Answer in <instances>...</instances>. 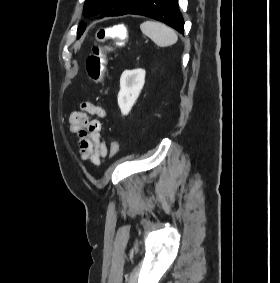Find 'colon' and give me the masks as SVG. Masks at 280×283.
<instances>
[{"label":"colon","mask_w":280,"mask_h":283,"mask_svg":"<svg viewBox=\"0 0 280 283\" xmlns=\"http://www.w3.org/2000/svg\"><path fill=\"white\" fill-rule=\"evenodd\" d=\"M127 29V25H113L98 29L96 41L86 60L87 73L94 82L103 84L105 81L107 58L103 53L102 43L108 39H113V42H127ZM118 150L119 144L116 142L113 146L112 156H115Z\"/></svg>","instance_id":"1"}]
</instances>
